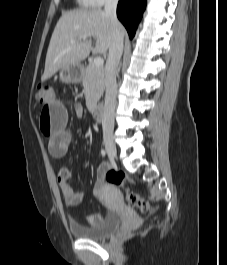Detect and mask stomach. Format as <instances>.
<instances>
[{
  "label": "stomach",
  "instance_id": "1",
  "mask_svg": "<svg viewBox=\"0 0 227 265\" xmlns=\"http://www.w3.org/2000/svg\"><path fill=\"white\" fill-rule=\"evenodd\" d=\"M84 76V69L83 66L72 65L65 68H62L59 72V79L63 83H79Z\"/></svg>",
  "mask_w": 227,
  "mask_h": 265
}]
</instances>
